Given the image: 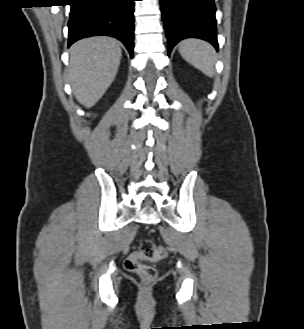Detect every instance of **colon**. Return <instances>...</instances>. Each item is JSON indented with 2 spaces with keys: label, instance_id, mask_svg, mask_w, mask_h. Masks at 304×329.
<instances>
[{
  "label": "colon",
  "instance_id": "5ec220e1",
  "mask_svg": "<svg viewBox=\"0 0 304 329\" xmlns=\"http://www.w3.org/2000/svg\"><path fill=\"white\" fill-rule=\"evenodd\" d=\"M165 257L166 251L162 246L156 245L151 240H143L139 249L125 259L124 267L128 271L136 273L143 282L148 283L156 278V269L150 264L142 263L141 260L156 263Z\"/></svg>",
  "mask_w": 304,
  "mask_h": 329
}]
</instances>
